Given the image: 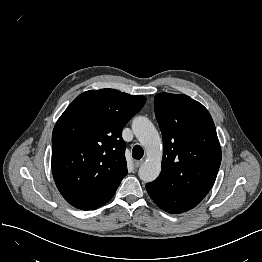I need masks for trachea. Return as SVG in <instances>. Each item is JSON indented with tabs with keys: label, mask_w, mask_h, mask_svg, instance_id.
<instances>
[{
	"label": "trachea",
	"mask_w": 262,
	"mask_h": 262,
	"mask_svg": "<svg viewBox=\"0 0 262 262\" xmlns=\"http://www.w3.org/2000/svg\"><path fill=\"white\" fill-rule=\"evenodd\" d=\"M144 155L143 148L140 145H135L132 149V157L134 159H141Z\"/></svg>",
	"instance_id": "trachea-1"
}]
</instances>
